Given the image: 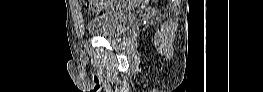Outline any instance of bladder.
Here are the masks:
<instances>
[{"label":"bladder","instance_id":"31cf9c89","mask_svg":"<svg viewBox=\"0 0 263 92\" xmlns=\"http://www.w3.org/2000/svg\"><path fill=\"white\" fill-rule=\"evenodd\" d=\"M135 20L132 11L116 7L104 9L92 16L86 23V30L98 37L107 39L117 37L122 31L129 29Z\"/></svg>","mask_w":263,"mask_h":92}]
</instances>
